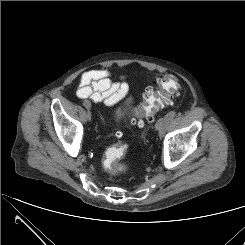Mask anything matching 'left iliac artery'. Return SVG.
Wrapping results in <instances>:
<instances>
[{
  "label": "left iliac artery",
  "mask_w": 245,
  "mask_h": 245,
  "mask_svg": "<svg viewBox=\"0 0 245 245\" xmlns=\"http://www.w3.org/2000/svg\"><path fill=\"white\" fill-rule=\"evenodd\" d=\"M176 116L175 111H170L166 116H165V125L163 128V132L165 131L166 125Z\"/></svg>",
  "instance_id": "1"
}]
</instances>
